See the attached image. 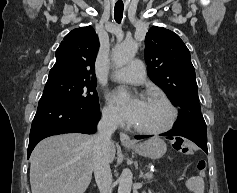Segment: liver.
Wrapping results in <instances>:
<instances>
[{
    "label": "liver",
    "instance_id": "6515ba94",
    "mask_svg": "<svg viewBox=\"0 0 237 193\" xmlns=\"http://www.w3.org/2000/svg\"><path fill=\"white\" fill-rule=\"evenodd\" d=\"M114 143L110 162L115 159ZM93 172V137L79 133L51 136L33 150L30 165L32 193H84Z\"/></svg>",
    "mask_w": 237,
    "mask_h": 193
}]
</instances>
